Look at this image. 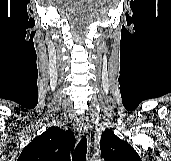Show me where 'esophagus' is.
Returning a JSON list of instances; mask_svg holds the SVG:
<instances>
[{
    "mask_svg": "<svg viewBox=\"0 0 171 161\" xmlns=\"http://www.w3.org/2000/svg\"><path fill=\"white\" fill-rule=\"evenodd\" d=\"M88 133V119L85 116H82L78 120V136L82 138L85 134Z\"/></svg>",
    "mask_w": 171,
    "mask_h": 161,
    "instance_id": "esophagus-1",
    "label": "esophagus"
}]
</instances>
